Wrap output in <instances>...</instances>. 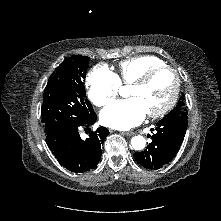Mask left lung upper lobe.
<instances>
[{
    "mask_svg": "<svg viewBox=\"0 0 221 221\" xmlns=\"http://www.w3.org/2000/svg\"><path fill=\"white\" fill-rule=\"evenodd\" d=\"M179 116L183 119H187V112L184 104V95L180 97V101L176 105V107L171 110L165 117H174Z\"/></svg>",
    "mask_w": 221,
    "mask_h": 221,
    "instance_id": "5c2ea615",
    "label": "left lung upper lobe"
}]
</instances>
